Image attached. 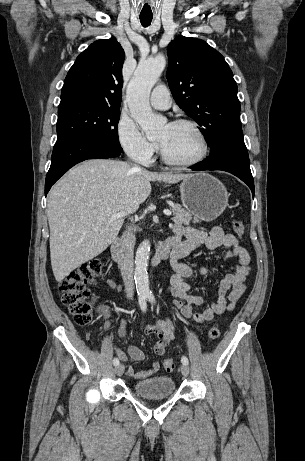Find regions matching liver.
<instances>
[{
  "mask_svg": "<svg viewBox=\"0 0 305 461\" xmlns=\"http://www.w3.org/2000/svg\"><path fill=\"white\" fill-rule=\"evenodd\" d=\"M188 174L134 171L121 161L92 159L78 164L50 190L47 217L54 277L69 273L102 253L117 237L123 218L138 210L151 181L177 183Z\"/></svg>",
  "mask_w": 305,
  "mask_h": 461,
  "instance_id": "obj_1",
  "label": "liver"
}]
</instances>
